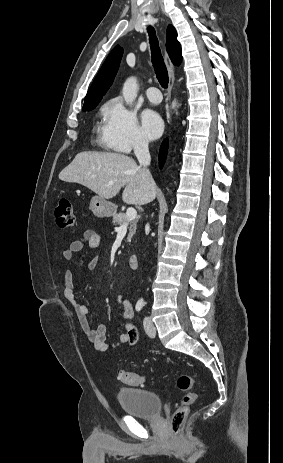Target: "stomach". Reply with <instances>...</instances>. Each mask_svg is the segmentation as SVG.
I'll list each match as a JSON object with an SVG mask.
<instances>
[{
  "label": "stomach",
  "mask_w": 283,
  "mask_h": 463,
  "mask_svg": "<svg viewBox=\"0 0 283 463\" xmlns=\"http://www.w3.org/2000/svg\"><path fill=\"white\" fill-rule=\"evenodd\" d=\"M90 210L99 218L110 217L115 212V206L100 196H93L90 201Z\"/></svg>",
  "instance_id": "1"
}]
</instances>
